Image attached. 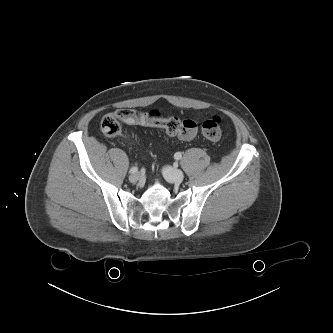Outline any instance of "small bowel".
<instances>
[{"instance_id":"1","label":"small bowel","mask_w":333,"mask_h":333,"mask_svg":"<svg viewBox=\"0 0 333 333\" xmlns=\"http://www.w3.org/2000/svg\"><path fill=\"white\" fill-rule=\"evenodd\" d=\"M134 113H143V112H139V111H136V110H132ZM148 114H151V115H158L156 112H148ZM133 124H138L136 122H133Z\"/></svg>"}]
</instances>
